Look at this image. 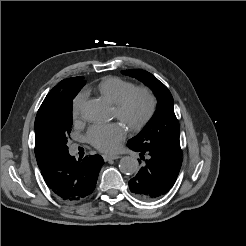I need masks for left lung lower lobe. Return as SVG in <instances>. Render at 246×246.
Returning <instances> with one entry per match:
<instances>
[{"mask_svg": "<svg viewBox=\"0 0 246 246\" xmlns=\"http://www.w3.org/2000/svg\"><path fill=\"white\" fill-rule=\"evenodd\" d=\"M129 147V146H128ZM140 152L141 159L145 158L143 167L129 181V188L142 200H154L166 194L174 185L179 174L182 157L173 156L157 149ZM139 163L140 160H139Z\"/></svg>", "mask_w": 246, "mask_h": 246, "instance_id": "left-lung-lower-lobe-1", "label": "left lung lower lobe"}]
</instances>
